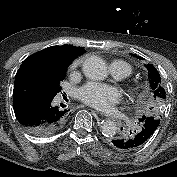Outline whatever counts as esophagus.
I'll use <instances>...</instances> for the list:
<instances>
[{
  "label": "esophagus",
  "mask_w": 177,
  "mask_h": 177,
  "mask_svg": "<svg viewBox=\"0 0 177 177\" xmlns=\"http://www.w3.org/2000/svg\"><path fill=\"white\" fill-rule=\"evenodd\" d=\"M98 114H99V116H100V117H102V118H103V117H105V116H106V114H107V113H106V111H105V110H103V109H102V110H100V111L98 112Z\"/></svg>",
  "instance_id": "obj_1"
}]
</instances>
